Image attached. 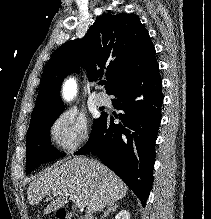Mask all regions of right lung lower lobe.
<instances>
[{
    "label": "right lung lower lobe",
    "instance_id": "right-lung-lower-lobe-1",
    "mask_svg": "<svg viewBox=\"0 0 211 219\" xmlns=\"http://www.w3.org/2000/svg\"><path fill=\"white\" fill-rule=\"evenodd\" d=\"M121 122L103 113L77 155H97L138 196L143 206L152 188L155 141L161 122L162 81L156 59L111 93Z\"/></svg>",
    "mask_w": 211,
    "mask_h": 219
}]
</instances>
